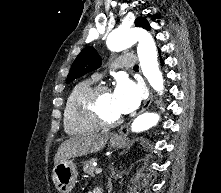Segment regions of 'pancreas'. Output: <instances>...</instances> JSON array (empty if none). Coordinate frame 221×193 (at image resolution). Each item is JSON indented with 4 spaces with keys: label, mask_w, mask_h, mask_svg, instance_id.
<instances>
[{
    "label": "pancreas",
    "mask_w": 221,
    "mask_h": 193,
    "mask_svg": "<svg viewBox=\"0 0 221 193\" xmlns=\"http://www.w3.org/2000/svg\"><path fill=\"white\" fill-rule=\"evenodd\" d=\"M95 161H97V159L92 158V159L88 160L85 163V165L83 166V171L92 177L95 176L94 172L96 170V167L93 166V162H95Z\"/></svg>",
    "instance_id": "obj_1"
}]
</instances>
